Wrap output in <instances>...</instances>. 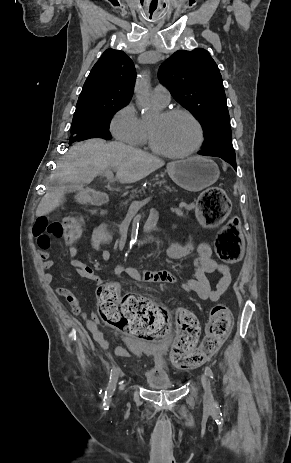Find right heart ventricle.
I'll return each instance as SVG.
<instances>
[{"label":"right heart ventricle","instance_id":"right-heart-ventricle-1","mask_svg":"<svg viewBox=\"0 0 291 463\" xmlns=\"http://www.w3.org/2000/svg\"><path fill=\"white\" fill-rule=\"evenodd\" d=\"M143 127H144V136H143V139H142L141 143H146V142H148V124L143 122Z\"/></svg>","mask_w":291,"mask_h":463}]
</instances>
